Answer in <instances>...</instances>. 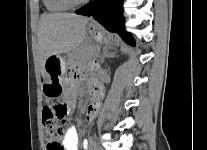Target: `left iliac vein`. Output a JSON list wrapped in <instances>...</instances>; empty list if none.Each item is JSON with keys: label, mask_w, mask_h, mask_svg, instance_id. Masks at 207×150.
Listing matches in <instances>:
<instances>
[{"label": "left iliac vein", "mask_w": 207, "mask_h": 150, "mask_svg": "<svg viewBox=\"0 0 207 150\" xmlns=\"http://www.w3.org/2000/svg\"><path fill=\"white\" fill-rule=\"evenodd\" d=\"M89 150H100V149L97 147V145L94 142H92L90 144Z\"/></svg>", "instance_id": "4c4485c4"}]
</instances>
